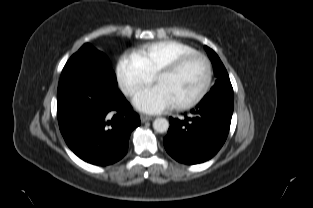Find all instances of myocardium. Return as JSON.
I'll list each match as a JSON object with an SVG mask.
<instances>
[{
    "mask_svg": "<svg viewBox=\"0 0 313 208\" xmlns=\"http://www.w3.org/2000/svg\"><path fill=\"white\" fill-rule=\"evenodd\" d=\"M194 59H201L205 64V68H206L205 82H204L200 92L194 98H192L191 100L184 102V103L175 104L174 107L177 110H188V109L196 106L197 104H199L204 99V97L207 95V93L211 87L212 80H213V69H212L211 61L209 60V58L206 55H204L200 52L188 53V54H184L182 56H179L178 58H176L175 60H173L169 64L163 66L155 74L154 80L157 82V80L161 76L168 75V74H174V73L178 72L186 64H188L190 61H192Z\"/></svg>",
    "mask_w": 313,
    "mask_h": 208,
    "instance_id": "f54148a6",
    "label": "myocardium"
}]
</instances>
